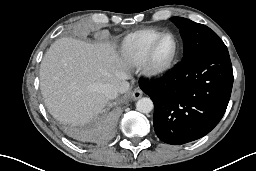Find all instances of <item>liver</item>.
Instances as JSON below:
<instances>
[{
    "label": "liver",
    "instance_id": "1",
    "mask_svg": "<svg viewBox=\"0 0 256 171\" xmlns=\"http://www.w3.org/2000/svg\"><path fill=\"white\" fill-rule=\"evenodd\" d=\"M129 78L126 61L109 43L61 38L50 46L40 65L45 105L55 119L68 125L107 101L102 93L104 84H114L125 93Z\"/></svg>",
    "mask_w": 256,
    "mask_h": 171
}]
</instances>
